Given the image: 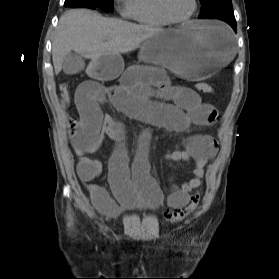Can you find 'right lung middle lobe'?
<instances>
[{"instance_id":"right-lung-middle-lobe-1","label":"right lung middle lobe","mask_w":279,"mask_h":279,"mask_svg":"<svg viewBox=\"0 0 279 279\" xmlns=\"http://www.w3.org/2000/svg\"><path fill=\"white\" fill-rule=\"evenodd\" d=\"M66 1H71V0H66ZM92 5L105 10V11H113V0H84Z\"/></svg>"}]
</instances>
